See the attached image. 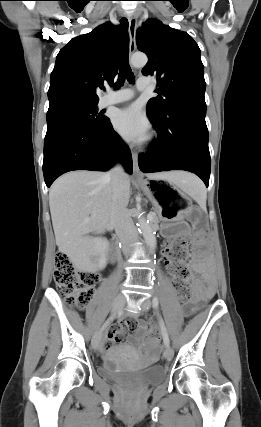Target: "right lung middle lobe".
<instances>
[{"mask_svg": "<svg viewBox=\"0 0 261 427\" xmlns=\"http://www.w3.org/2000/svg\"><path fill=\"white\" fill-rule=\"evenodd\" d=\"M97 105H65L49 109L47 112V124L62 121H76L86 125L99 126L109 119L97 115Z\"/></svg>", "mask_w": 261, "mask_h": 427, "instance_id": "1", "label": "right lung middle lobe"}]
</instances>
